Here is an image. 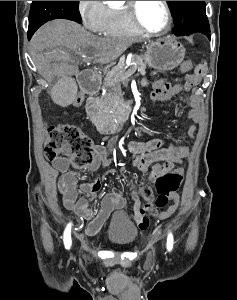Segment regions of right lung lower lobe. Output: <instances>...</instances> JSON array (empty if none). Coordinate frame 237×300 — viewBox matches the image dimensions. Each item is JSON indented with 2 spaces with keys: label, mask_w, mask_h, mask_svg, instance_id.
Listing matches in <instances>:
<instances>
[{
  "label": "right lung lower lobe",
  "mask_w": 237,
  "mask_h": 300,
  "mask_svg": "<svg viewBox=\"0 0 237 300\" xmlns=\"http://www.w3.org/2000/svg\"><path fill=\"white\" fill-rule=\"evenodd\" d=\"M34 32L35 31L28 29V39H30L32 37V35L34 34Z\"/></svg>",
  "instance_id": "1"
}]
</instances>
